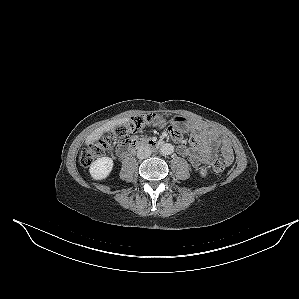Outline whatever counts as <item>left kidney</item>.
I'll list each match as a JSON object with an SVG mask.
<instances>
[{
  "label": "left kidney",
  "mask_w": 299,
  "mask_h": 299,
  "mask_svg": "<svg viewBox=\"0 0 299 299\" xmlns=\"http://www.w3.org/2000/svg\"><path fill=\"white\" fill-rule=\"evenodd\" d=\"M200 174H201L202 177H205V176L207 175V170H206V168H201V170H200Z\"/></svg>",
  "instance_id": "5707ae66"
}]
</instances>
